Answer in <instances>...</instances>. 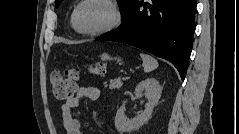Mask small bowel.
<instances>
[{
  "instance_id": "1",
  "label": "small bowel",
  "mask_w": 239,
  "mask_h": 134,
  "mask_svg": "<svg viewBox=\"0 0 239 134\" xmlns=\"http://www.w3.org/2000/svg\"><path fill=\"white\" fill-rule=\"evenodd\" d=\"M100 91L93 86H82L76 90V93L67 99L61 106L63 126L67 134H82L81 124L74 116L73 110L79 106L81 99L95 101L99 98Z\"/></svg>"
}]
</instances>
